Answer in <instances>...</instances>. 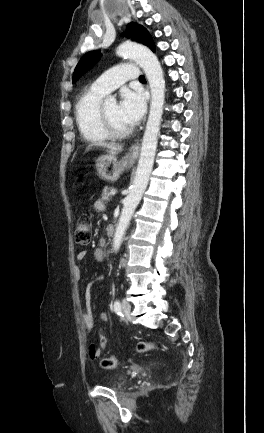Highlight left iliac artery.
I'll return each mask as SVG.
<instances>
[{
  "instance_id": "44dca946",
  "label": "left iliac artery",
  "mask_w": 264,
  "mask_h": 433,
  "mask_svg": "<svg viewBox=\"0 0 264 433\" xmlns=\"http://www.w3.org/2000/svg\"><path fill=\"white\" fill-rule=\"evenodd\" d=\"M114 311L116 312V314L122 315L121 304H120V302L118 300H116L115 303H114Z\"/></svg>"
}]
</instances>
